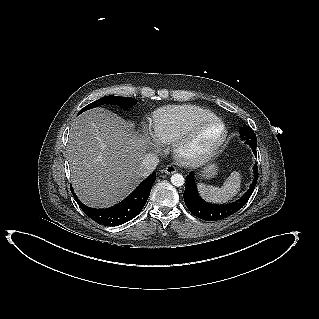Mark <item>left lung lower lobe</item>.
Segmentation results:
<instances>
[{
    "label": "left lung lower lobe",
    "instance_id": "0a47b994",
    "mask_svg": "<svg viewBox=\"0 0 319 319\" xmlns=\"http://www.w3.org/2000/svg\"><path fill=\"white\" fill-rule=\"evenodd\" d=\"M250 147L256 155V146L250 145ZM253 169L254 179L249 190L236 202L224 205L210 204L202 200L197 193L194 173L191 172L186 178L184 191V201L187 208L194 216L206 221H216L233 215L246 204L255 189L258 179L257 165H255Z\"/></svg>",
    "mask_w": 319,
    "mask_h": 319
}]
</instances>
